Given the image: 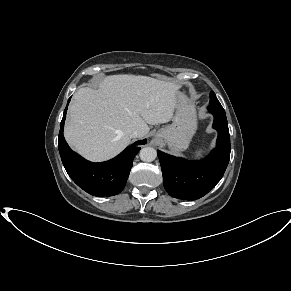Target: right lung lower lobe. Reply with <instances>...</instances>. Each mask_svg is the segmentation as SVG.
<instances>
[{"label":"right lung lower lobe","instance_id":"98d812e1","mask_svg":"<svg viewBox=\"0 0 291 291\" xmlns=\"http://www.w3.org/2000/svg\"><path fill=\"white\" fill-rule=\"evenodd\" d=\"M70 99L68 100L69 104ZM67 104V105H68ZM67 106L61 121L58 137L59 153L70 178L84 191L93 196H113L125 187L133 159L139 152V145L146 139L135 142L112 160L92 163L72 151L63 136Z\"/></svg>","mask_w":291,"mask_h":291}]
</instances>
